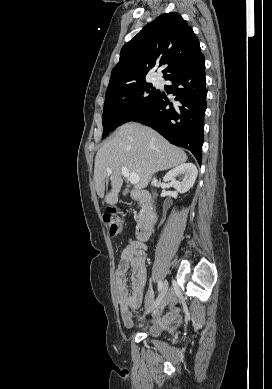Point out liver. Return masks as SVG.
<instances>
[{"label":"liver","instance_id":"liver-1","mask_svg":"<svg viewBox=\"0 0 272 389\" xmlns=\"http://www.w3.org/2000/svg\"><path fill=\"white\" fill-rule=\"evenodd\" d=\"M186 153L171 145L159 133L139 123H126L120 126L97 152L94 167V182L97 194L104 197L105 179L110 176L111 190L105 196V202L115 205L118 202L123 180L121 168L139 176L135 189L148 186L154 173L183 164ZM112 169V174L107 169Z\"/></svg>","mask_w":272,"mask_h":389}]
</instances>
